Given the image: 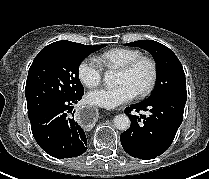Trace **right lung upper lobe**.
<instances>
[{"mask_svg":"<svg viewBox=\"0 0 209 179\" xmlns=\"http://www.w3.org/2000/svg\"><path fill=\"white\" fill-rule=\"evenodd\" d=\"M73 43L74 42H70V41L63 40V41L54 42L52 44H54V45H68V44H73Z\"/></svg>","mask_w":209,"mask_h":179,"instance_id":"1","label":"right lung upper lobe"}]
</instances>
